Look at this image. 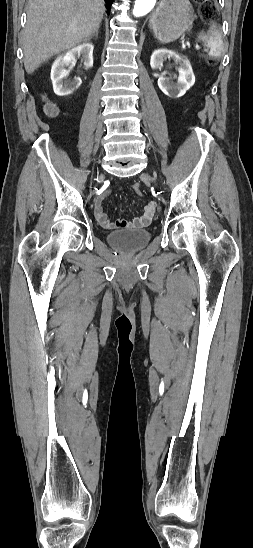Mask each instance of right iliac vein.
Masks as SVG:
<instances>
[{
	"label": "right iliac vein",
	"instance_id": "63e3f726",
	"mask_svg": "<svg viewBox=\"0 0 253 548\" xmlns=\"http://www.w3.org/2000/svg\"><path fill=\"white\" fill-rule=\"evenodd\" d=\"M101 178H102V175H99L98 178H97V180L99 181Z\"/></svg>",
	"mask_w": 253,
	"mask_h": 548
}]
</instances>
